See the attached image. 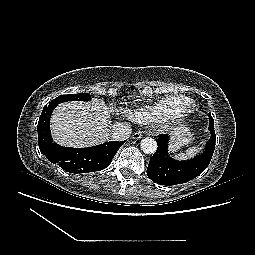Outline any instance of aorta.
Instances as JSON below:
<instances>
[{"instance_id":"1","label":"aorta","mask_w":255,"mask_h":255,"mask_svg":"<svg viewBox=\"0 0 255 255\" xmlns=\"http://www.w3.org/2000/svg\"><path fill=\"white\" fill-rule=\"evenodd\" d=\"M140 147L144 153L153 154L157 150V142L151 137H146L141 140Z\"/></svg>"}]
</instances>
